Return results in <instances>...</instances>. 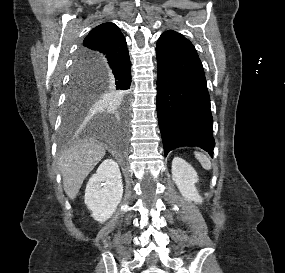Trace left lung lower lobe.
<instances>
[{"mask_svg": "<svg viewBox=\"0 0 285 273\" xmlns=\"http://www.w3.org/2000/svg\"><path fill=\"white\" fill-rule=\"evenodd\" d=\"M157 114L164 153L197 146L213 157V117L202 63L193 44L175 31L164 32L156 47Z\"/></svg>", "mask_w": 285, "mask_h": 273, "instance_id": "obj_1", "label": "left lung lower lobe"}]
</instances>
